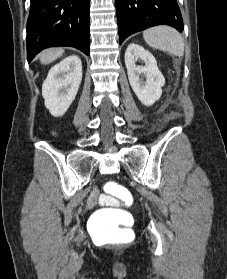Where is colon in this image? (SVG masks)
Listing matches in <instances>:
<instances>
[{"label": "colon", "instance_id": "colon-1", "mask_svg": "<svg viewBox=\"0 0 227 279\" xmlns=\"http://www.w3.org/2000/svg\"><path fill=\"white\" fill-rule=\"evenodd\" d=\"M104 190L107 195L119 197L122 201H125L130 195L128 189L114 181L106 182L104 184ZM129 217L128 212L121 208L102 209L95 213L93 221L90 224V230L96 239L130 237L132 231L125 224Z\"/></svg>", "mask_w": 227, "mask_h": 279}]
</instances>
